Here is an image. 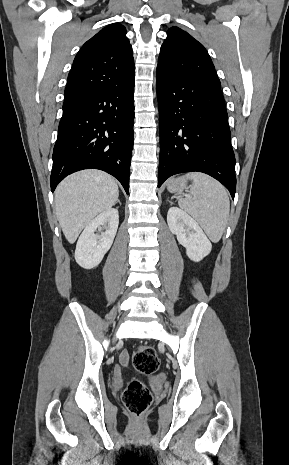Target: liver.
I'll list each match as a JSON object with an SVG mask.
<instances>
[{
	"label": "liver",
	"instance_id": "liver-1",
	"mask_svg": "<svg viewBox=\"0 0 289 465\" xmlns=\"http://www.w3.org/2000/svg\"><path fill=\"white\" fill-rule=\"evenodd\" d=\"M115 179L99 170H84L65 178L56 188V215L65 238L73 244L96 215L115 205Z\"/></svg>",
	"mask_w": 289,
	"mask_h": 465
}]
</instances>
